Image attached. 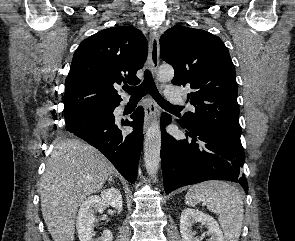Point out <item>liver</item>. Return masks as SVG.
<instances>
[{"mask_svg": "<svg viewBox=\"0 0 295 241\" xmlns=\"http://www.w3.org/2000/svg\"><path fill=\"white\" fill-rule=\"evenodd\" d=\"M114 172L105 156L80 140L56 144L40 184L41 211L54 241H74L78 207Z\"/></svg>", "mask_w": 295, "mask_h": 241, "instance_id": "liver-1", "label": "liver"}]
</instances>
